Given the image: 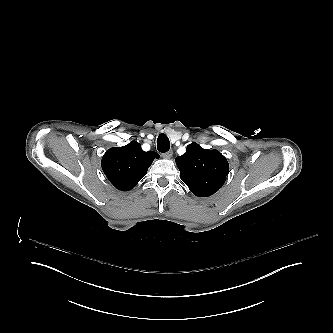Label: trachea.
<instances>
[{
    "mask_svg": "<svg viewBox=\"0 0 333 333\" xmlns=\"http://www.w3.org/2000/svg\"><path fill=\"white\" fill-rule=\"evenodd\" d=\"M157 149L161 153H166L170 149V141L165 134H160L158 136Z\"/></svg>",
    "mask_w": 333,
    "mask_h": 333,
    "instance_id": "3493384b",
    "label": "trachea"
}]
</instances>
